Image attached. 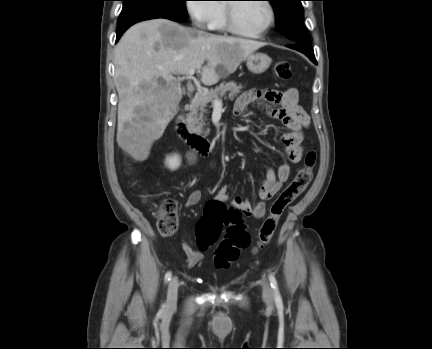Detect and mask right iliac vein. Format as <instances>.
<instances>
[{
    "mask_svg": "<svg viewBox=\"0 0 432 349\" xmlns=\"http://www.w3.org/2000/svg\"><path fill=\"white\" fill-rule=\"evenodd\" d=\"M178 281L176 278L171 279L167 289V310H173L177 304Z\"/></svg>",
    "mask_w": 432,
    "mask_h": 349,
    "instance_id": "63e3f726",
    "label": "right iliac vein"
}]
</instances>
